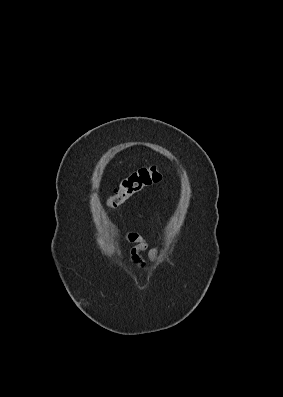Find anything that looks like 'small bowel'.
I'll list each match as a JSON object with an SVG mask.
<instances>
[{"instance_id":"c3829d8e","label":"small bowel","mask_w":283,"mask_h":397,"mask_svg":"<svg viewBox=\"0 0 283 397\" xmlns=\"http://www.w3.org/2000/svg\"><path fill=\"white\" fill-rule=\"evenodd\" d=\"M135 218L140 220L155 221V218L151 215L138 213ZM122 240L132 244L133 246L129 250V260L138 269H145L148 264L156 261L159 249L157 247H150L147 240L137 231H128L121 236ZM143 253H146V258L143 257ZM119 257H122V252H117Z\"/></svg>"}]
</instances>
